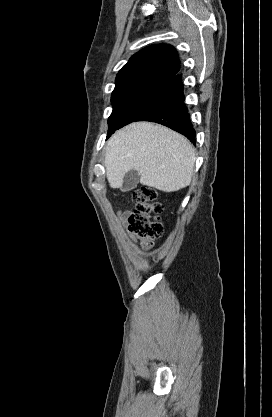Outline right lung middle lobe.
Here are the masks:
<instances>
[{"instance_id":"obj_1","label":"right lung middle lobe","mask_w":272,"mask_h":417,"mask_svg":"<svg viewBox=\"0 0 272 417\" xmlns=\"http://www.w3.org/2000/svg\"><path fill=\"white\" fill-rule=\"evenodd\" d=\"M161 90L162 88L131 89L113 94L111 98L113 111L108 119V137L117 129L134 121Z\"/></svg>"}]
</instances>
